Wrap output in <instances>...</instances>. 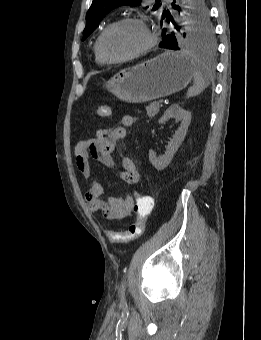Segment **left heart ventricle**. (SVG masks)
I'll list each match as a JSON object with an SVG mask.
<instances>
[{"label":"left heart ventricle","instance_id":"left-heart-ventricle-1","mask_svg":"<svg viewBox=\"0 0 261 340\" xmlns=\"http://www.w3.org/2000/svg\"><path fill=\"white\" fill-rule=\"evenodd\" d=\"M147 43L144 29L134 23H124L110 30L103 40V50L110 57L130 55Z\"/></svg>","mask_w":261,"mask_h":340}]
</instances>
